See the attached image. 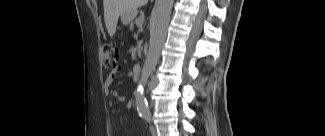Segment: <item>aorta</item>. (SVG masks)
Returning a JSON list of instances; mask_svg holds the SVG:
<instances>
[{
  "mask_svg": "<svg viewBox=\"0 0 325 136\" xmlns=\"http://www.w3.org/2000/svg\"><path fill=\"white\" fill-rule=\"evenodd\" d=\"M173 2V0H158L151 16L149 49L135 93L136 107L141 114L149 112L144 90L149 76L157 65L166 39Z\"/></svg>",
  "mask_w": 325,
  "mask_h": 136,
  "instance_id": "762f6f07",
  "label": "aorta"
}]
</instances>
